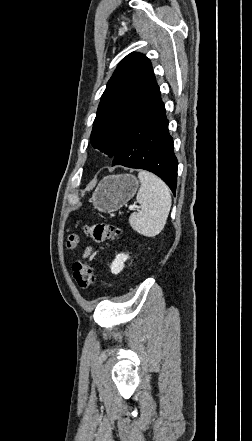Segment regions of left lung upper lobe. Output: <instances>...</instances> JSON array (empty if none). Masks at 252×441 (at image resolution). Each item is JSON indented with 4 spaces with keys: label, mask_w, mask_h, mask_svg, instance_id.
Wrapping results in <instances>:
<instances>
[{
    "label": "left lung upper lobe",
    "mask_w": 252,
    "mask_h": 441,
    "mask_svg": "<svg viewBox=\"0 0 252 441\" xmlns=\"http://www.w3.org/2000/svg\"><path fill=\"white\" fill-rule=\"evenodd\" d=\"M155 76L150 60L141 53L127 55L117 66L101 97L91 144L114 157L138 113L145 105Z\"/></svg>",
    "instance_id": "5c2ea615"
}]
</instances>
